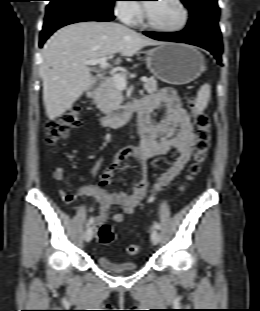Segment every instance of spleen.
Listing matches in <instances>:
<instances>
[{
	"label": "spleen",
	"mask_w": 260,
	"mask_h": 311,
	"mask_svg": "<svg viewBox=\"0 0 260 311\" xmlns=\"http://www.w3.org/2000/svg\"><path fill=\"white\" fill-rule=\"evenodd\" d=\"M210 93L211 89L208 83H205L200 87L195 101V107L198 112H202L207 107L210 99Z\"/></svg>",
	"instance_id": "obj_1"
}]
</instances>
